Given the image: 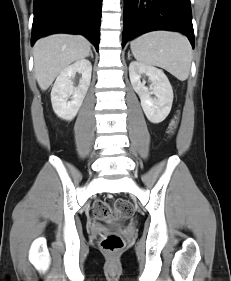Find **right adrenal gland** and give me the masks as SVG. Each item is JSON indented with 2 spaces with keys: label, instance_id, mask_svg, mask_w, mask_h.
Returning a JSON list of instances; mask_svg holds the SVG:
<instances>
[{
  "label": "right adrenal gland",
  "instance_id": "2a0ac1e0",
  "mask_svg": "<svg viewBox=\"0 0 231 281\" xmlns=\"http://www.w3.org/2000/svg\"><path fill=\"white\" fill-rule=\"evenodd\" d=\"M89 56H90L92 59L94 58L92 51L90 52Z\"/></svg>",
  "mask_w": 231,
  "mask_h": 281
}]
</instances>
